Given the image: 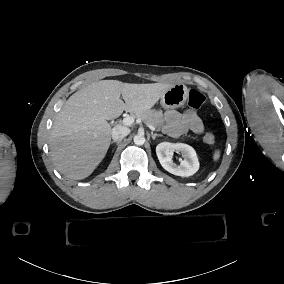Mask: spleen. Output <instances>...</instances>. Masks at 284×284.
Listing matches in <instances>:
<instances>
[{
  "mask_svg": "<svg viewBox=\"0 0 284 284\" xmlns=\"http://www.w3.org/2000/svg\"><path fill=\"white\" fill-rule=\"evenodd\" d=\"M220 158V151L216 150L213 155L214 161H217Z\"/></svg>",
  "mask_w": 284,
  "mask_h": 284,
  "instance_id": "3e777b00",
  "label": "spleen"
}]
</instances>
